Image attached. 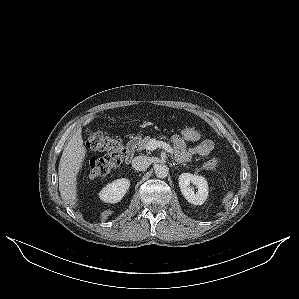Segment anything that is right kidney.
<instances>
[{"label":"right kidney","instance_id":"obj_1","mask_svg":"<svg viewBox=\"0 0 299 299\" xmlns=\"http://www.w3.org/2000/svg\"><path fill=\"white\" fill-rule=\"evenodd\" d=\"M130 181L126 178L117 179L107 184L99 193L102 201L107 203H117L126 194L129 189Z\"/></svg>","mask_w":299,"mask_h":299}]
</instances>
